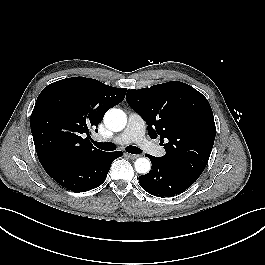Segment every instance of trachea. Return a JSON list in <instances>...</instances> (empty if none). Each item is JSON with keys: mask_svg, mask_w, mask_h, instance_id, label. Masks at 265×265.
I'll return each mask as SVG.
<instances>
[{"mask_svg": "<svg viewBox=\"0 0 265 265\" xmlns=\"http://www.w3.org/2000/svg\"><path fill=\"white\" fill-rule=\"evenodd\" d=\"M92 142L97 148H99L101 150L113 151L116 149V145L114 143H111V142H105V143L97 142V141H92ZM126 151L131 153V154H140L141 153V149H139L136 146H131V145L126 147Z\"/></svg>", "mask_w": 265, "mask_h": 265, "instance_id": "trachea-1", "label": "trachea"}]
</instances>
